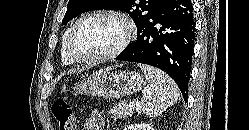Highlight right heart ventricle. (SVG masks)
Returning <instances> with one entry per match:
<instances>
[{"label": "right heart ventricle", "instance_id": "e07e8e85", "mask_svg": "<svg viewBox=\"0 0 249 130\" xmlns=\"http://www.w3.org/2000/svg\"><path fill=\"white\" fill-rule=\"evenodd\" d=\"M70 29H68L65 34L63 35V39H62V45H61V57H62V61L66 64H71L72 61L68 58V56L66 55L65 52V43H66V39L68 36Z\"/></svg>", "mask_w": 249, "mask_h": 130}]
</instances>
